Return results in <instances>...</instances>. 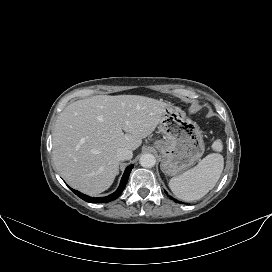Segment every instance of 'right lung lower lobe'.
I'll use <instances>...</instances> for the list:
<instances>
[{
	"label": "right lung lower lobe",
	"mask_w": 272,
	"mask_h": 272,
	"mask_svg": "<svg viewBox=\"0 0 272 272\" xmlns=\"http://www.w3.org/2000/svg\"><path fill=\"white\" fill-rule=\"evenodd\" d=\"M132 168H133V165H130L125 169V172L123 174V177L121 179V182H120V185H119L118 189L114 193H112V194H110V195H108L106 197L93 198V197L87 196L85 194H82L81 192H78L76 190L72 189V191L77 196H79L81 199H83V200H85L87 202H90V203H106V202L115 200L116 198H118L120 196V194L124 190Z\"/></svg>",
	"instance_id": "right-lung-lower-lobe-1"
}]
</instances>
